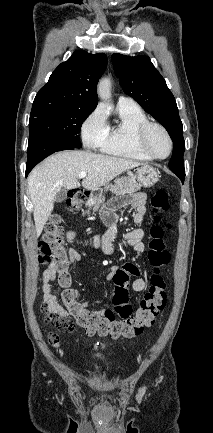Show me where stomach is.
Listing matches in <instances>:
<instances>
[{"label":"stomach","mask_w":213,"mask_h":433,"mask_svg":"<svg viewBox=\"0 0 213 433\" xmlns=\"http://www.w3.org/2000/svg\"><path fill=\"white\" fill-rule=\"evenodd\" d=\"M159 179V174L156 169L150 167L148 165H144L137 169V180L139 185L145 188H150L153 186ZM100 196V192H94L90 196V200L93 201Z\"/></svg>","instance_id":"stomach-1"}]
</instances>
